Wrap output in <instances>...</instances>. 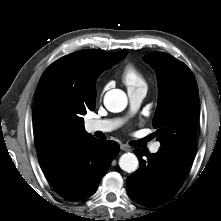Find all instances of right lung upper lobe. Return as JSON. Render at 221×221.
I'll list each match as a JSON object with an SVG mask.
<instances>
[{
	"mask_svg": "<svg viewBox=\"0 0 221 221\" xmlns=\"http://www.w3.org/2000/svg\"><path fill=\"white\" fill-rule=\"evenodd\" d=\"M127 53L126 50L117 53L81 50L58 59L48 67V70L57 69L65 75L66 84L63 93L72 105L92 111L96 105L97 76L103 70L120 62ZM38 92L37 88L36 93ZM32 113L38 153L55 145L91 135L85 132L83 121H80L78 117L53 119L46 114L39 113L35 108Z\"/></svg>",
	"mask_w": 221,
	"mask_h": 221,
	"instance_id": "1",
	"label": "right lung upper lobe"
}]
</instances>
